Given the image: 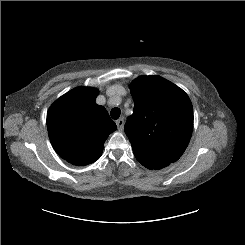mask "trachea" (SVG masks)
<instances>
[{
    "instance_id": "3493384b",
    "label": "trachea",
    "mask_w": 245,
    "mask_h": 245,
    "mask_svg": "<svg viewBox=\"0 0 245 245\" xmlns=\"http://www.w3.org/2000/svg\"><path fill=\"white\" fill-rule=\"evenodd\" d=\"M111 114V117L114 119V120H117L119 117H120V114H121V110L119 108H113L110 112Z\"/></svg>"
}]
</instances>
